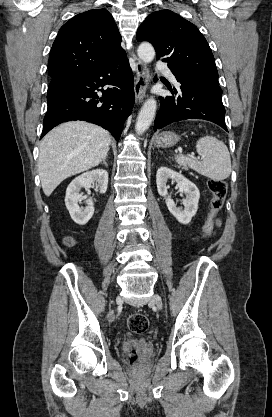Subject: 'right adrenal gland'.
<instances>
[{"mask_svg": "<svg viewBox=\"0 0 272 417\" xmlns=\"http://www.w3.org/2000/svg\"><path fill=\"white\" fill-rule=\"evenodd\" d=\"M102 164H104L106 167L108 166L106 163V158L103 159Z\"/></svg>", "mask_w": 272, "mask_h": 417, "instance_id": "right-adrenal-gland-1", "label": "right adrenal gland"}]
</instances>
